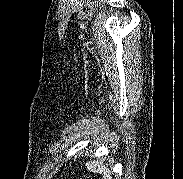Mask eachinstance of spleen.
I'll list each match as a JSON object with an SVG mask.
<instances>
[{
  "label": "spleen",
  "mask_w": 183,
  "mask_h": 179,
  "mask_svg": "<svg viewBox=\"0 0 183 179\" xmlns=\"http://www.w3.org/2000/svg\"><path fill=\"white\" fill-rule=\"evenodd\" d=\"M86 167L93 173L102 174L103 179H112L111 170L104 164L102 160L87 162Z\"/></svg>",
  "instance_id": "obj_1"
}]
</instances>
